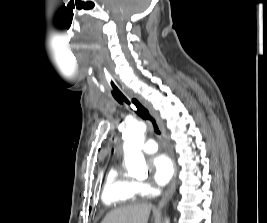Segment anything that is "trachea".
<instances>
[{
  "label": "trachea",
  "instance_id": "3493384b",
  "mask_svg": "<svg viewBox=\"0 0 267 223\" xmlns=\"http://www.w3.org/2000/svg\"><path fill=\"white\" fill-rule=\"evenodd\" d=\"M108 82H109V85L110 87L113 89V97L114 99L120 103V104H127L128 106L132 105L134 107L137 108V114L144 120H149L152 125H153V128H154V131L156 134L160 135V129L155 121V119L150 115L149 111L143 107L141 105V103L133 98L131 101L124 95V93L122 92L121 90V87L119 86V84L116 82V80L111 76L109 75L108 76Z\"/></svg>",
  "mask_w": 267,
  "mask_h": 223
}]
</instances>
